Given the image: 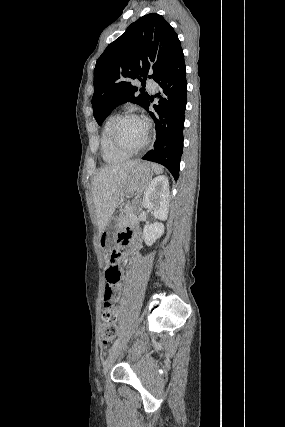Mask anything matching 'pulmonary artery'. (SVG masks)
Instances as JSON below:
<instances>
[{"label":"pulmonary artery","mask_w":285,"mask_h":427,"mask_svg":"<svg viewBox=\"0 0 285 427\" xmlns=\"http://www.w3.org/2000/svg\"><path fill=\"white\" fill-rule=\"evenodd\" d=\"M147 83L152 90H155L157 88V84L153 80H148Z\"/></svg>","instance_id":"obj_1"}]
</instances>
